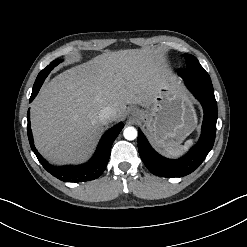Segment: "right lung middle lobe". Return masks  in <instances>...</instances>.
I'll return each instance as SVG.
<instances>
[{"label": "right lung middle lobe", "instance_id": "right-lung-middle-lobe-1", "mask_svg": "<svg viewBox=\"0 0 247 247\" xmlns=\"http://www.w3.org/2000/svg\"><path fill=\"white\" fill-rule=\"evenodd\" d=\"M60 62H62V60H55L53 62H51L45 69H43L39 74L38 76L41 78L42 76H47L50 71L55 67L57 66ZM37 76V77H38Z\"/></svg>", "mask_w": 247, "mask_h": 247}]
</instances>
